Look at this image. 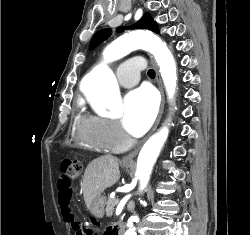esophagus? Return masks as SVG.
I'll list each match as a JSON object with an SVG mask.
<instances>
[{"label":"esophagus","instance_id":"1","mask_svg":"<svg viewBox=\"0 0 250 235\" xmlns=\"http://www.w3.org/2000/svg\"><path fill=\"white\" fill-rule=\"evenodd\" d=\"M152 63L155 67V71H156V82H157V85L159 87V90H160V93H161V104H160V109H159V113H158V116L156 118V121L152 127V130H151V133L154 132L160 122V119L162 117V114H163V110H164V104H165V97H164V91H163V86H162V82H161V78H160V74H159V71H158V68L157 66L155 65L154 61L152 60ZM150 133V134H151ZM144 142V141H143ZM142 142V143H143ZM142 143H140L131 153H129L128 155L124 156L122 158V162L123 163H133L134 162V158L135 156L137 155Z\"/></svg>","mask_w":250,"mask_h":235}]
</instances>
